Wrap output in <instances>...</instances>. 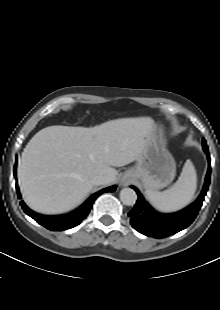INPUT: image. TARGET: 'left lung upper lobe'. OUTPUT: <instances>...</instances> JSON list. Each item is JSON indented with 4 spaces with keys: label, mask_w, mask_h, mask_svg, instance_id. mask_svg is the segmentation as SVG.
I'll use <instances>...</instances> for the list:
<instances>
[{
    "label": "left lung upper lobe",
    "mask_w": 220,
    "mask_h": 310,
    "mask_svg": "<svg viewBox=\"0 0 220 310\" xmlns=\"http://www.w3.org/2000/svg\"><path fill=\"white\" fill-rule=\"evenodd\" d=\"M202 141H203V149L206 148V147H208L204 138H203Z\"/></svg>",
    "instance_id": "1"
}]
</instances>
